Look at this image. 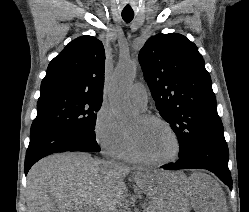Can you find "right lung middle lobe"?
<instances>
[{
    "label": "right lung middle lobe",
    "instance_id": "obj_1",
    "mask_svg": "<svg viewBox=\"0 0 249 212\" xmlns=\"http://www.w3.org/2000/svg\"><path fill=\"white\" fill-rule=\"evenodd\" d=\"M102 99L84 94L53 93L40 96L30 135L51 129H68L95 139L96 113Z\"/></svg>",
    "mask_w": 249,
    "mask_h": 212
}]
</instances>
